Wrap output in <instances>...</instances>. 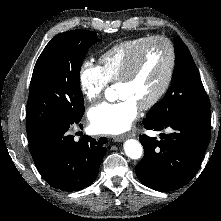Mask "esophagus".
Listing matches in <instances>:
<instances>
[{"label": "esophagus", "mask_w": 221, "mask_h": 221, "mask_svg": "<svg viewBox=\"0 0 221 221\" xmlns=\"http://www.w3.org/2000/svg\"><path fill=\"white\" fill-rule=\"evenodd\" d=\"M133 136H134L133 134H127V135H122V136H114L113 139L115 142H122L126 138L133 137Z\"/></svg>", "instance_id": "esophagus-1"}]
</instances>
